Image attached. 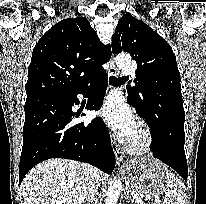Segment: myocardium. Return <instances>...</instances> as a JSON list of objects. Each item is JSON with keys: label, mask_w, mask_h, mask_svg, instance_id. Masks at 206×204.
<instances>
[{"label": "myocardium", "mask_w": 206, "mask_h": 204, "mask_svg": "<svg viewBox=\"0 0 206 204\" xmlns=\"http://www.w3.org/2000/svg\"><path fill=\"white\" fill-rule=\"evenodd\" d=\"M154 145V135L149 124L143 119L136 120V133L126 143V149L132 154L148 153Z\"/></svg>", "instance_id": "f54148a6"}]
</instances>
